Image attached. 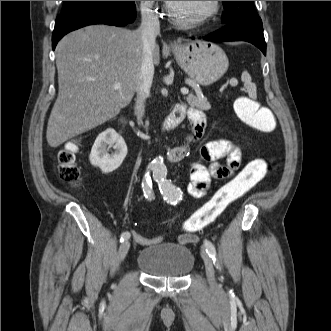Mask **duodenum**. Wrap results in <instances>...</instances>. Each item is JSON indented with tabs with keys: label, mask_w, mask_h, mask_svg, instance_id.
<instances>
[{
	"label": "duodenum",
	"mask_w": 331,
	"mask_h": 331,
	"mask_svg": "<svg viewBox=\"0 0 331 331\" xmlns=\"http://www.w3.org/2000/svg\"><path fill=\"white\" fill-rule=\"evenodd\" d=\"M183 117L184 112L179 107L174 108V110L169 114V116L164 122L163 131L169 132L170 130L175 128L181 122Z\"/></svg>",
	"instance_id": "1"
}]
</instances>
